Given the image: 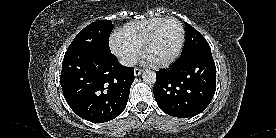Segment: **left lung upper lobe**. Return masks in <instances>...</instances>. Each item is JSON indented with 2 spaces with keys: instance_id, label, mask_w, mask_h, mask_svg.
<instances>
[{
  "instance_id": "5c2ea615",
  "label": "left lung upper lobe",
  "mask_w": 276,
  "mask_h": 138,
  "mask_svg": "<svg viewBox=\"0 0 276 138\" xmlns=\"http://www.w3.org/2000/svg\"><path fill=\"white\" fill-rule=\"evenodd\" d=\"M186 37L185 44L178 60H182L189 57L191 54L200 51L210 49V46L206 39L190 24L186 23Z\"/></svg>"
}]
</instances>
